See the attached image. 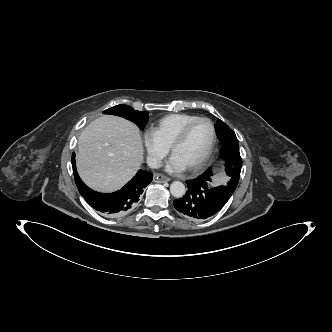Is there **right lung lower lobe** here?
<instances>
[{
	"label": "right lung lower lobe",
	"instance_id": "1",
	"mask_svg": "<svg viewBox=\"0 0 332 332\" xmlns=\"http://www.w3.org/2000/svg\"><path fill=\"white\" fill-rule=\"evenodd\" d=\"M72 167L80 194L91 207L106 217H119L132 211L138 204L143 189L153 178L151 172L139 170L121 190L104 194L91 190L82 182L76 171L75 154H72Z\"/></svg>",
	"mask_w": 332,
	"mask_h": 332
}]
</instances>
